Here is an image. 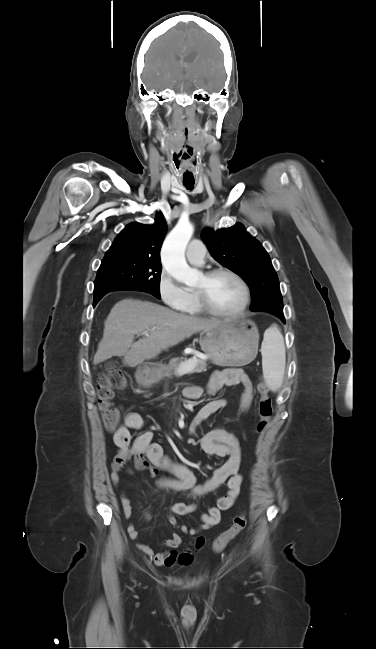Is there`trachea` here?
<instances>
[{"instance_id":"trachea-1","label":"trachea","mask_w":376,"mask_h":649,"mask_svg":"<svg viewBox=\"0 0 376 649\" xmlns=\"http://www.w3.org/2000/svg\"><path fill=\"white\" fill-rule=\"evenodd\" d=\"M184 186H185L188 190H191V189H193L194 183H184Z\"/></svg>"}]
</instances>
